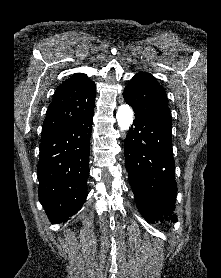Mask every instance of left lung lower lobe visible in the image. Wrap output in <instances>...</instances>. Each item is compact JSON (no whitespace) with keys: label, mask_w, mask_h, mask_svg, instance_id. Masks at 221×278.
Wrapping results in <instances>:
<instances>
[{"label":"left lung lower lobe","mask_w":221,"mask_h":278,"mask_svg":"<svg viewBox=\"0 0 221 278\" xmlns=\"http://www.w3.org/2000/svg\"><path fill=\"white\" fill-rule=\"evenodd\" d=\"M133 125L124 141V155L136 205L148 223L176 222L171 116L135 114Z\"/></svg>","instance_id":"1"}]
</instances>
